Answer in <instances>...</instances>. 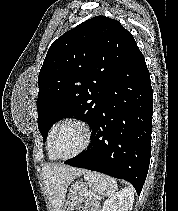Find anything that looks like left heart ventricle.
<instances>
[{"label": "left heart ventricle", "instance_id": "b2bd125f", "mask_svg": "<svg viewBox=\"0 0 178 211\" xmlns=\"http://www.w3.org/2000/svg\"><path fill=\"white\" fill-rule=\"evenodd\" d=\"M83 142V129L75 124H67L57 133L55 149L59 155L68 156L78 151Z\"/></svg>", "mask_w": 178, "mask_h": 211}]
</instances>
